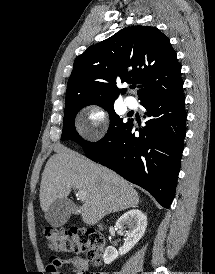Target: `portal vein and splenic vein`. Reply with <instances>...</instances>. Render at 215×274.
Wrapping results in <instances>:
<instances>
[{"mask_svg":"<svg viewBox=\"0 0 215 274\" xmlns=\"http://www.w3.org/2000/svg\"><path fill=\"white\" fill-rule=\"evenodd\" d=\"M77 197H78L80 200H85V199H86V193H85V191L79 190V191L77 192Z\"/></svg>","mask_w":215,"mask_h":274,"instance_id":"obj_1","label":"portal vein and splenic vein"}]
</instances>
